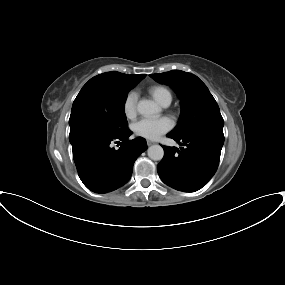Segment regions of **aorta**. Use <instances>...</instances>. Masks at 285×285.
<instances>
[{
  "mask_svg": "<svg viewBox=\"0 0 285 285\" xmlns=\"http://www.w3.org/2000/svg\"><path fill=\"white\" fill-rule=\"evenodd\" d=\"M137 111L145 116L150 117L160 112L158 105L151 100H140L137 105ZM148 157L154 161H159L164 156V150L160 145H152L147 150Z\"/></svg>",
  "mask_w": 285,
  "mask_h": 285,
  "instance_id": "obj_1",
  "label": "aorta"
}]
</instances>
